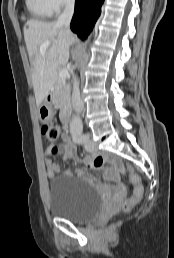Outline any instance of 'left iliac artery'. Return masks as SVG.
<instances>
[{"mask_svg": "<svg viewBox=\"0 0 174 258\" xmlns=\"http://www.w3.org/2000/svg\"><path fill=\"white\" fill-rule=\"evenodd\" d=\"M72 138L75 143L83 144L86 140V137L82 134V128H78L72 131Z\"/></svg>", "mask_w": 174, "mask_h": 258, "instance_id": "1", "label": "left iliac artery"}]
</instances>
